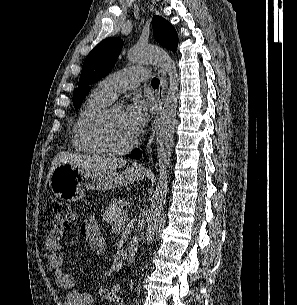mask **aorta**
Segmentation results:
<instances>
[{
  "instance_id": "obj_1",
  "label": "aorta",
  "mask_w": 297,
  "mask_h": 305,
  "mask_svg": "<svg viewBox=\"0 0 297 305\" xmlns=\"http://www.w3.org/2000/svg\"><path fill=\"white\" fill-rule=\"evenodd\" d=\"M128 59L134 63L158 65L169 76L167 96L156 127L159 180L146 216L147 225L145 237L147 244L150 245L158 231V224L168 192V167L173 147V135L178 105L179 76L172 58L158 47L135 45L128 51Z\"/></svg>"
}]
</instances>
